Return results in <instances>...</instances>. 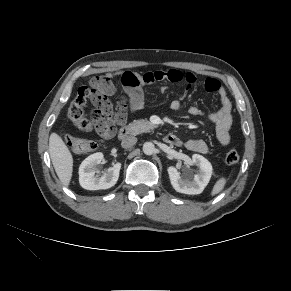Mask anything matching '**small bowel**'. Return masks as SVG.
<instances>
[{
  "instance_id": "1",
  "label": "small bowel",
  "mask_w": 291,
  "mask_h": 291,
  "mask_svg": "<svg viewBox=\"0 0 291 291\" xmlns=\"http://www.w3.org/2000/svg\"><path fill=\"white\" fill-rule=\"evenodd\" d=\"M118 77L122 84L125 96L121 97L114 107L109 100L102 109V120L97 127V132L104 137H111L115 131L116 125H123L129 115L140 111L144 106V86L152 85L161 81H169L173 83H184L186 89H190L196 83V77L191 72H183L180 70H155L148 71L143 74L123 71L116 74H107L103 77H96L90 81V85L96 86L102 80L109 82L106 96L116 93L113 85V78ZM209 82H214L215 86H211ZM205 89L207 92L216 93L220 98L221 106L217 110L209 113L208 118L215 125L216 139L220 147H225L230 143V128L232 125V104L227 95L226 90L220 85L219 81L214 78H208L205 81ZM183 105L180 99H176L171 103V109L180 111ZM191 116H203L204 110L199 107L191 106L188 108ZM178 146L182 145L179 140ZM185 147L193 152L206 153L208 151L207 144L201 139H191L185 143Z\"/></svg>"
}]
</instances>
